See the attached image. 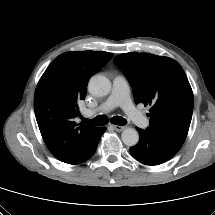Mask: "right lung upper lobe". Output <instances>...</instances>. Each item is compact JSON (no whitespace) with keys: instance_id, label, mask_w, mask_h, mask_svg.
<instances>
[{"instance_id":"right-lung-upper-lobe-1","label":"right lung upper lobe","mask_w":215,"mask_h":215,"mask_svg":"<svg viewBox=\"0 0 215 215\" xmlns=\"http://www.w3.org/2000/svg\"><path fill=\"white\" fill-rule=\"evenodd\" d=\"M113 56L104 51L66 52L48 66L34 96L36 120L50 152L60 161L78 164L99 128L74 122L87 84Z\"/></svg>"}]
</instances>
